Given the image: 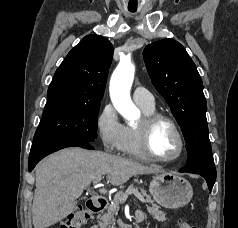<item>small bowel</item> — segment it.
I'll return each instance as SVG.
<instances>
[{
  "instance_id": "c3829d8e",
  "label": "small bowel",
  "mask_w": 238,
  "mask_h": 228,
  "mask_svg": "<svg viewBox=\"0 0 238 228\" xmlns=\"http://www.w3.org/2000/svg\"><path fill=\"white\" fill-rule=\"evenodd\" d=\"M90 228H98V227L94 225V226H91Z\"/></svg>"
}]
</instances>
